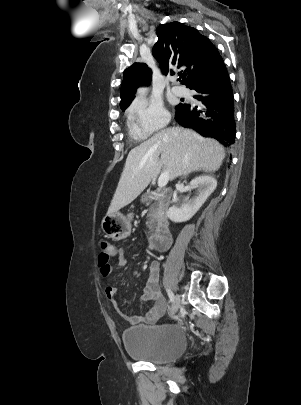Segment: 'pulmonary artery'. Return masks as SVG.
I'll return each mask as SVG.
<instances>
[{"label": "pulmonary artery", "instance_id": "obj_1", "mask_svg": "<svg viewBox=\"0 0 301 405\" xmlns=\"http://www.w3.org/2000/svg\"><path fill=\"white\" fill-rule=\"evenodd\" d=\"M172 91L174 94L178 95V96H184L187 94V90L183 87L180 86H174L172 88Z\"/></svg>", "mask_w": 301, "mask_h": 405}]
</instances>
